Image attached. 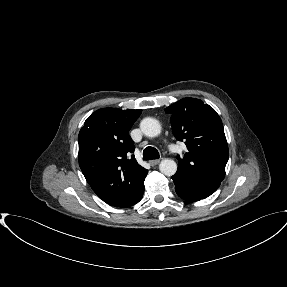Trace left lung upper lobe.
<instances>
[{
    "instance_id": "1",
    "label": "left lung upper lobe",
    "mask_w": 287,
    "mask_h": 287,
    "mask_svg": "<svg viewBox=\"0 0 287 287\" xmlns=\"http://www.w3.org/2000/svg\"><path fill=\"white\" fill-rule=\"evenodd\" d=\"M165 112L171 114L175 138L188 148L183 158L177 157L178 170L173 177L189 185H220L229 150L217 112L195 98H183Z\"/></svg>"
}]
</instances>
